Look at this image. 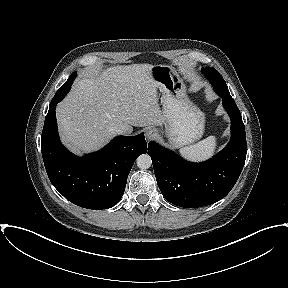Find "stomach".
<instances>
[{"instance_id": "1", "label": "stomach", "mask_w": 288, "mask_h": 288, "mask_svg": "<svg viewBox=\"0 0 288 288\" xmlns=\"http://www.w3.org/2000/svg\"><path fill=\"white\" fill-rule=\"evenodd\" d=\"M151 77L162 93L164 130L155 129L168 137L174 147L190 145L199 140L204 132L205 116L186 94V86L177 72L167 65H154Z\"/></svg>"}]
</instances>
